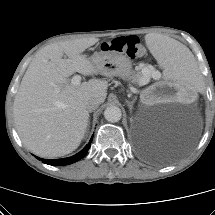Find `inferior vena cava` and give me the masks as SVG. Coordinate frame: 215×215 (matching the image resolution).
I'll list each match as a JSON object with an SVG mask.
<instances>
[{"instance_id": "inferior-vena-cava-1", "label": "inferior vena cava", "mask_w": 215, "mask_h": 215, "mask_svg": "<svg viewBox=\"0 0 215 215\" xmlns=\"http://www.w3.org/2000/svg\"><path fill=\"white\" fill-rule=\"evenodd\" d=\"M101 104L100 99L92 98L86 102V108L89 112L95 110Z\"/></svg>"}]
</instances>
